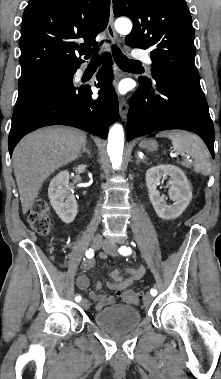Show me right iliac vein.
<instances>
[{
	"label": "right iliac vein",
	"mask_w": 221,
	"mask_h": 379,
	"mask_svg": "<svg viewBox=\"0 0 221 379\" xmlns=\"http://www.w3.org/2000/svg\"><path fill=\"white\" fill-rule=\"evenodd\" d=\"M103 244V238L101 236H94L93 239H92V247L94 249H99ZM80 305L83 307V308H87L88 307V301L86 299H83L80 303Z\"/></svg>",
	"instance_id": "63e3f726"
}]
</instances>
